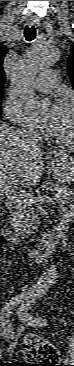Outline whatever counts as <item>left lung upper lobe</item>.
Instances as JSON below:
<instances>
[{
	"mask_svg": "<svg viewBox=\"0 0 74 366\" xmlns=\"http://www.w3.org/2000/svg\"><path fill=\"white\" fill-rule=\"evenodd\" d=\"M69 65V77L72 83V86L74 87V46L70 49V57L68 60Z\"/></svg>",
	"mask_w": 74,
	"mask_h": 366,
	"instance_id": "obj_1",
	"label": "left lung upper lobe"
}]
</instances>
